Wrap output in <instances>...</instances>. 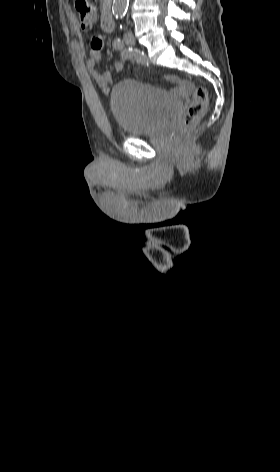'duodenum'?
Returning <instances> with one entry per match:
<instances>
[{"label":"duodenum","instance_id":"410a0bca","mask_svg":"<svg viewBox=\"0 0 280 472\" xmlns=\"http://www.w3.org/2000/svg\"><path fill=\"white\" fill-rule=\"evenodd\" d=\"M101 25L102 29L106 32H111L114 30L115 24L111 14V8L109 3H107L104 7Z\"/></svg>","mask_w":280,"mask_h":472}]
</instances>
